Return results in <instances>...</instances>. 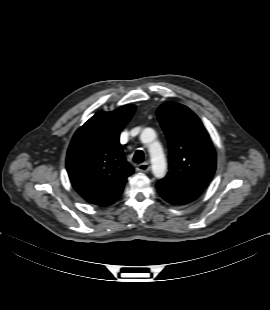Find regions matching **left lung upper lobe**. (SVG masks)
I'll list each match as a JSON object with an SVG mask.
<instances>
[{
	"mask_svg": "<svg viewBox=\"0 0 270 310\" xmlns=\"http://www.w3.org/2000/svg\"><path fill=\"white\" fill-rule=\"evenodd\" d=\"M169 145V172L162 181L204 190L216 169V153L200 119L186 106L165 103L157 110Z\"/></svg>",
	"mask_w": 270,
	"mask_h": 310,
	"instance_id": "left-lung-upper-lobe-1",
	"label": "left lung upper lobe"
}]
</instances>
